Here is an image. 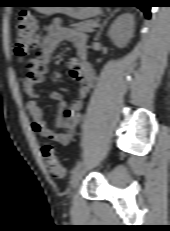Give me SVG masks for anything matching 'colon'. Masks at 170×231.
<instances>
[{
	"label": "colon",
	"instance_id": "colon-1",
	"mask_svg": "<svg viewBox=\"0 0 170 231\" xmlns=\"http://www.w3.org/2000/svg\"><path fill=\"white\" fill-rule=\"evenodd\" d=\"M15 30V54L19 59H23L35 49L37 44V23L29 11L22 10L18 14ZM41 153L46 160L52 175L57 178H64L66 170L57 159L53 146L44 142L41 146Z\"/></svg>",
	"mask_w": 170,
	"mask_h": 231
}]
</instances>
